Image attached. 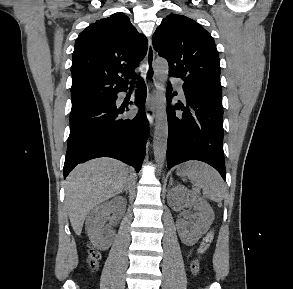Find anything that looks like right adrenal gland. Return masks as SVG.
<instances>
[{
	"instance_id": "1",
	"label": "right adrenal gland",
	"mask_w": 293,
	"mask_h": 289,
	"mask_svg": "<svg viewBox=\"0 0 293 289\" xmlns=\"http://www.w3.org/2000/svg\"><path fill=\"white\" fill-rule=\"evenodd\" d=\"M122 192H126V194H128V187L125 186V188L122 190ZM122 192H121V193H122Z\"/></svg>"
}]
</instances>
